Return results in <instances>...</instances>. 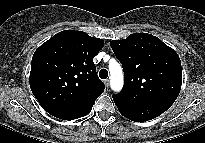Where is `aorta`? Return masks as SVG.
<instances>
[{
  "instance_id": "aorta-1",
  "label": "aorta",
  "mask_w": 205,
  "mask_h": 143,
  "mask_svg": "<svg viewBox=\"0 0 205 143\" xmlns=\"http://www.w3.org/2000/svg\"><path fill=\"white\" fill-rule=\"evenodd\" d=\"M110 86L114 92H120L124 84L123 72L120 64L112 60L109 63Z\"/></svg>"
}]
</instances>
